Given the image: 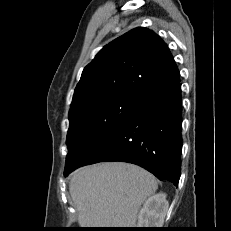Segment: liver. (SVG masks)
<instances>
[{
	"label": "liver",
	"mask_w": 231,
	"mask_h": 231,
	"mask_svg": "<svg viewBox=\"0 0 231 231\" xmlns=\"http://www.w3.org/2000/svg\"><path fill=\"white\" fill-rule=\"evenodd\" d=\"M157 188L152 174L124 162L79 168L69 182L82 228H134L141 205Z\"/></svg>",
	"instance_id": "6515ba94"
}]
</instances>
